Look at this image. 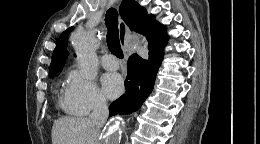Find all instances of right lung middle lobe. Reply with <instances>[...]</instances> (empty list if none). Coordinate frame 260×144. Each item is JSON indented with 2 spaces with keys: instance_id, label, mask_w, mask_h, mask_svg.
<instances>
[{
  "instance_id": "1",
  "label": "right lung middle lobe",
  "mask_w": 260,
  "mask_h": 144,
  "mask_svg": "<svg viewBox=\"0 0 260 144\" xmlns=\"http://www.w3.org/2000/svg\"><path fill=\"white\" fill-rule=\"evenodd\" d=\"M60 72H61V70L56 71V72L49 73V77H50V78H53V77H55V76H58Z\"/></svg>"
}]
</instances>
